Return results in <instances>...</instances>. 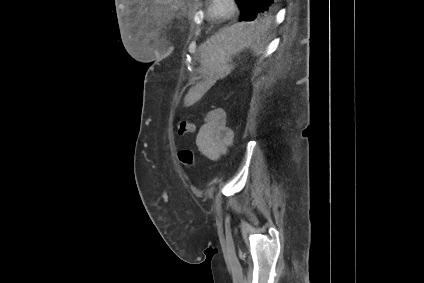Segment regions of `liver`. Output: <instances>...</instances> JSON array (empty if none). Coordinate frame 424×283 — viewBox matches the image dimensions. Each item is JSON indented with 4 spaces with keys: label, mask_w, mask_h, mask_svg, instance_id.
<instances>
[{
    "label": "liver",
    "mask_w": 424,
    "mask_h": 283,
    "mask_svg": "<svg viewBox=\"0 0 424 283\" xmlns=\"http://www.w3.org/2000/svg\"><path fill=\"white\" fill-rule=\"evenodd\" d=\"M251 28H247L245 29L243 26H232L230 28L225 29L220 35L216 36V38H214L213 43L214 45L217 44V42H222L223 45V49L224 51H222L220 57H223L224 55H227L228 52H230L231 50H233L236 46L239 45L242 37L245 35V31L248 30L250 31ZM213 47L212 49L207 47L206 45H203L201 47V65H202V70L204 73H207V69H214L213 68V63L216 60V58L220 59V57H215L217 56V54L215 52H213ZM215 49V48H214ZM193 92L194 89H191L188 93V95H186L185 97V101L184 104L188 105L191 103L192 99H193Z\"/></svg>",
    "instance_id": "obj_1"
}]
</instances>
